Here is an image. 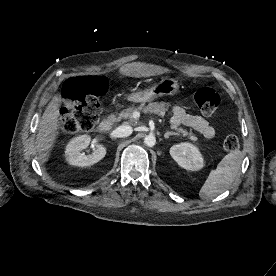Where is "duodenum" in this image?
<instances>
[{"label":"duodenum","mask_w":276,"mask_h":276,"mask_svg":"<svg viewBox=\"0 0 276 276\" xmlns=\"http://www.w3.org/2000/svg\"><path fill=\"white\" fill-rule=\"evenodd\" d=\"M112 125H113V118L107 117L106 119H104L102 122L99 123L97 130L99 133H106L111 129Z\"/></svg>","instance_id":"410a0bca"}]
</instances>
